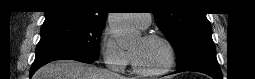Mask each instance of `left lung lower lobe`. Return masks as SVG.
<instances>
[{
  "label": "left lung lower lobe",
  "instance_id": "obj_1",
  "mask_svg": "<svg viewBox=\"0 0 255 79\" xmlns=\"http://www.w3.org/2000/svg\"><path fill=\"white\" fill-rule=\"evenodd\" d=\"M196 71L207 74L214 79H222L217 59L198 60L178 68L177 72Z\"/></svg>",
  "mask_w": 255,
  "mask_h": 79
}]
</instances>
